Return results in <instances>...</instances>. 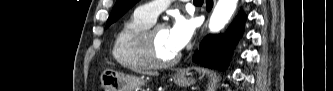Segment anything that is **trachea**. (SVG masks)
<instances>
[{
    "instance_id": "1",
    "label": "trachea",
    "mask_w": 333,
    "mask_h": 91,
    "mask_svg": "<svg viewBox=\"0 0 333 91\" xmlns=\"http://www.w3.org/2000/svg\"><path fill=\"white\" fill-rule=\"evenodd\" d=\"M195 3H203V0H194Z\"/></svg>"
}]
</instances>
